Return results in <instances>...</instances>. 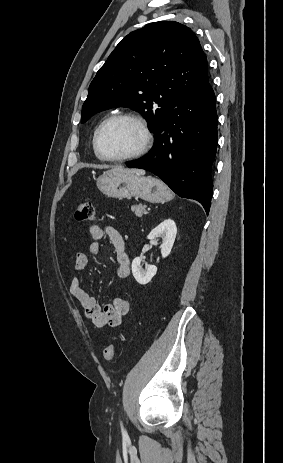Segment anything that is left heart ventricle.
Returning a JSON list of instances; mask_svg holds the SVG:
<instances>
[{
    "label": "left heart ventricle",
    "mask_w": 283,
    "mask_h": 463,
    "mask_svg": "<svg viewBox=\"0 0 283 463\" xmlns=\"http://www.w3.org/2000/svg\"><path fill=\"white\" fill-rule=\"evenodd\" d=\"M143 141L140 127L131 120L110 123L101 133L100 149L105 156L121 157L137 151Z\"/></svg>",
    "instance_id": "1"
}]
</instances>
